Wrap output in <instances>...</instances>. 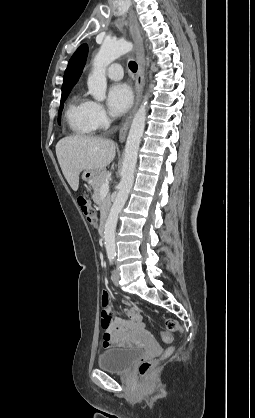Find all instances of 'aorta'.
I'll return each instance as SVG.
<instances>
[{
	"label": "aorta",
	"instance_id": "762f6f07",
	"mask_svg": "<svg viewBox=\"0 0 255 418\" xmlns=\"http://www.w3.org/2000/svg\"><path fill=\"white\" fill-rule=\"evenodd\" d=\"M132 48V43L125 40H106L101 45L99 52L93 60L92 73L89 75L87 82L89 93L95 100L103 101L106 98V68L108 65L121 55L132 50ZM147 105L148 94L144 97L141 106L133 118L127 137L121 172L122 178L119 184L117 196L109 212L104 230V241L108 256H115L116 254L115 230L117 226L118 215L125 205L130 190L133 186L137 154L141 137L145 128Z\"/></svg>",
	"mask_w": 255,
	"mask_h": 418
}]
</instances>
